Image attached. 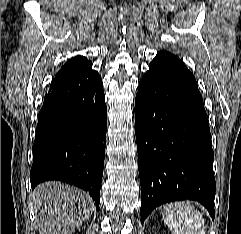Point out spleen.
I'll return each mask as SVG.
<instances>
[{
    "label": "spleen",
    "mask_w": 241,
    "mask_h": 234,
    "mask_svg": "<svg viewBox=\"0 0 241 234\" xmlns=\"http://www.w3.org/2000/svg\"><path fill=\"white\" fill-rule=\"evenodd\" d=\"M162 216L172 234H205L203 215L187 201L165 205Z\"/></svg>",
    "instance_id": "1"
}]
</instances>
